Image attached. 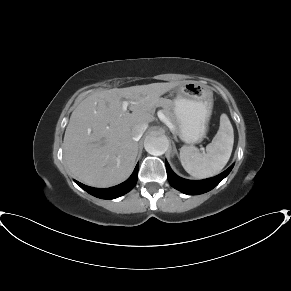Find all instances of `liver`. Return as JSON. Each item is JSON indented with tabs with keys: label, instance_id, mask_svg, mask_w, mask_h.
Returning a JSON list of instances; mask_svg holds the SVG:
<instances>
[{
	"label": "liver",
	"instance_id": "1",
	"mask_svg": "<svg viewBox=\"0 0 291 291\" xmlns=\"http://www.w3.org/2000/svg\"><path fill=\"white\" fill-rule=\"evenodd\" d=\"M177 82L113 88L94 92L72 112L66 127L63 151L70 172L93 187H110L125 181L133 171L138 143L132 128L154 120L159 97ZM122 99L133 101L122 110Z\"/></svg>",
	"mask_w": 291,
	"mask_h": 291
}]
</instances>
